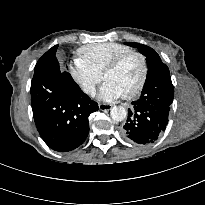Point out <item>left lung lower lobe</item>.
Masks as SVG:
<instances>
[{"label": "left lung lower lobe", "instance_id": "obj_1", "mask_svg": "<svg viewBox=\"0 0 205 205\" xmlns=\"http://www.w3.org/2000/svg\"><path fill=\"white\" fill-rule=\"evenodd\" d=\"M132 105L121 130L123 137L139 145L154 143L166 129L170 106L140 100L133 101Z\"/></svg>", "mask_w": 205, "mask_h": 205}]
</instances>
